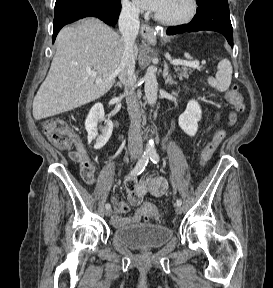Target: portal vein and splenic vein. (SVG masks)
I'll use <instances>...</instances> for the list:
<instances>
[{"label": "portal vein and splenic vein", "mask_w": 273, "mask_h": 288, "mask_svg": "<svg viewBox=\"0 0 273 288\" xmlns=\"http://www.w3.org/2000/svg\"><path fill=\"white\" fill-rule=\"evenodd\" d=\"M172 65H184L192 68H199V62L198 61H183V60H172L170 61ZM96 72L92 71L89 72L90 76H96ZM101 82L100 79L97 80V83Z\"/></svg>", "instance_id": "1"}]
</instances>
